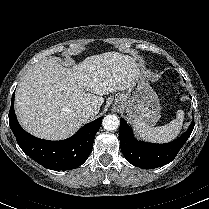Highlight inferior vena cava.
I'll return each instance as SVG.
<instances>
[{"label":"inferior vena cava","instance_id":"1","mask_svg":"<svg viewBox=\"0 0 209 209\" xmlns=\"http://www.w3.org/2000/svg\"><path fill=\"white\" fill-rule=\"evenodd\" d=\"M85 113H86V115H88V116H92V115H94V114H96L97 113V111H96V108H94L93 106H87L86 108H85Z\"/></svg>","mask_w":209,"mask_h":209}]
</instances>
